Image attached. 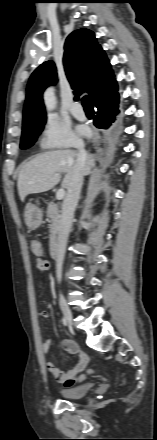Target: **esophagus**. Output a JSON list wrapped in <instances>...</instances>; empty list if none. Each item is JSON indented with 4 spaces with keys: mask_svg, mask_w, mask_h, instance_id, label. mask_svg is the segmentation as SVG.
I'll use <instances>...</instances> for the list:
<instances>
[{
    "mask_svg": "<svg viewBox=\"0 0 157 440\" xmlns=\"http://www.w3.org/2000/svg\"><path fill=\"white\" fill-rule=\"evenodd\" d=\"M97 133H94V136L96 135ZM94 139H95V137H94Z\"/></svg>",
    "mask_w": 157,
    "mask_h": 440,
    "instance_id": "1",
    "label": "esophagus"
}]
</instances>
